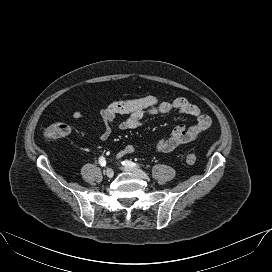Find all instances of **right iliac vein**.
Returning a JSON list of instances; mask_svg holds the SVG:
<instances>
[{
    "label": "right iliac vein",
    "instance_id": "obj_1",
    "mask_svg": "<svg viewBox=\"0 0 272 272\" xmlns=\"http://www.w3.org/2000/svg\"><path fill=\"white\" fill-rule=\"evenodd\" d=\"M105 175H106L108 178H112L113 175H114V171H113L111 168H107L106 171H105Z\"/></svg>",
    "mask_w": 272,
    "mask_h": 272
}]
</instances>
